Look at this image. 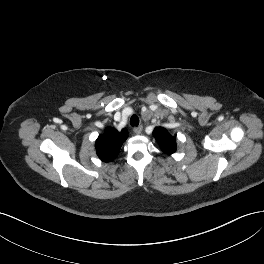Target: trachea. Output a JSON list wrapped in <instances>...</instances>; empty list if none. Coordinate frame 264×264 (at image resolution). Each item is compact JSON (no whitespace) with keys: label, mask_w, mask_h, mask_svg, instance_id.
Masks as SVG:
<instances>
[{"label":"trachea","mask_w":264,"mask_h":264,"mask_svg":"<svg viewBox=\"0 0 264 264\" xmlns=\"http://www.w3.org/2000/svg\"><path fill=\"white\" fill-rule=\"evenodd\" d=\"M130 124L132 125V126H138L139 125V118H138V116L137 115H132L131 116V118H130Z\"/></svg>","instance_id":"1"}]
</instances>
